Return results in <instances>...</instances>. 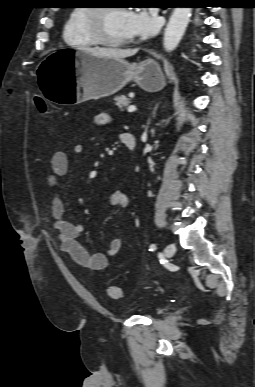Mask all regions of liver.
I'll return each mask as SVG.
<instances>
[{
    "mask_svg": "<svg viewBox=\"0 0 255 387\" xmlns=\"http://www.w3.org/2000/svg\"><path fill=\"white\" fill-rule=\"evenodd\" d=\"M86 53L92 54L98 57H108V58H117L124 59L126 57H131L135 55L138 50L137 49H113V48H90L84 47L81 49Z\"/></svg>",
    "mask_w": 255,
    "mask_h": 387,
    "instance_id": "1",
    "label": "liver"
}]
</instances>
